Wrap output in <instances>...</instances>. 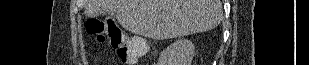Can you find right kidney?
I'll use <instances>...</instances> for the list:
<instances>
[{
  "instance_id": "right-kidney-1",
  "label": "right kidney",
  "mask_w": 309,
  "mask_h": 65,
  "mask_svg": "<svg viewBox=\"0 0 309 65\" xmlns=\"http://www.w3.org/2000/svg\"><path fill=\"white\" fill-rule=\"evenodd\" d=\"M195 45L188 39H178L169 45L159 58L160 65H191Z\"/></svg>"
}]
</instances>
